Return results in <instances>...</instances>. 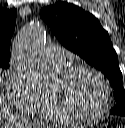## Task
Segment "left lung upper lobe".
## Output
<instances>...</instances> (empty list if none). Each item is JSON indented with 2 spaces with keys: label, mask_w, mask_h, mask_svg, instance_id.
I'll use <instances>...</instances> for the list:
<instances>
[{
  "label": "left lung upper lobe",
  "mask_w": 125,
  "mask_h": 128,
  "mask_svg": "<svg viewBox=\"0 0 125 128\" xmlns=\"http://www.w3.org/2000/svg\"><path fill=\"white\" fill-rule=\"evenodd\" d=\"M40 17L47 23L60 42L91 66L101 70L112 83L117 105L111 109L125 116V90L118 57L109 34L98 19L82 8L67 2L44 7Z\"/></svg>",
  "instance_id": "5c2ea615"
}]
</instances>
